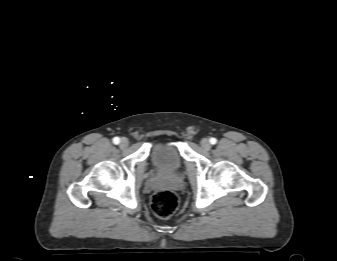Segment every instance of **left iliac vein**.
Returning <instances> with one entry per match:
<instances>
[{
  "instance_id": "left-iliac-vein-1",
  "label": "left iliac vein",
  "mask_w": 337,
  "mask_h": 261,
  "mask_svg": "<svg viewBox=\"0 0 337 261\" xmlns=\"http://www.w3.org/2000/svg\"><path fill=\"white\" fill-rule=\"evenodd\" d=\"M201 146L205 149V150H209L211 148V144L209 142V140L207 138H203L201 140Z\"/></svg>"
}]
</instances>
